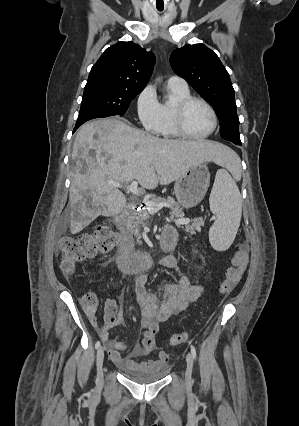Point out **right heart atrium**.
Listing matches in <instances>:
<instances>
[{
	"label": "right heart atrium",
	"mask_w": 299,
	"mask_h": 426,
	"mask_svg": "<svg viewBox=\"0 0 299 426\" xmlns=\"http://www.w3.org/2000/svg\"><path fill=\"white\" fill-rule=\"evenodd\" d=\"M138 119L150 133H158L161 121L160 102L152 85L145 86L136 101Z\"/></svg>",
	"instance_id": "d8ad5b80"
}]
</instances>
